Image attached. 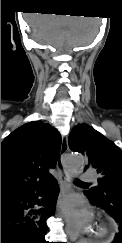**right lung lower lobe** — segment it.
<instances>
[{"label": "right lung lower lobe", "instance_id": "98d812e1", "mask_svg": "<svg viewBox=\"0 0 122 243\" xmlns=\"http://www.w3.org/2000/svg\"><path fill=\"white\" fill-rule=\"evenodd\" d=\"M49 183V192L39 199ZM57 197L58 183L53 176L1 197V243H47L44 238L46 221L55 208Z\"/></svg>", "mask_w": 122, "mask_h": 243}]
</instances>
